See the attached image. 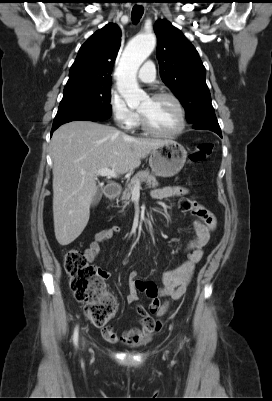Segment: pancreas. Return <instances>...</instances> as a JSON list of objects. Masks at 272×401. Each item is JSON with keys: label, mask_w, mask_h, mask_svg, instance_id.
I'll return each mask as SVG.
<instances>
[{"label": "pancreas", "mask_w": 272, "mask_h": 401, "mask_svg": "<svg viewBox=\"0 0 272 401\" xmlns=\"http://www.w3.org/2000/svg\"><path fill=\"white\" fill-rule=\"evenodd\" d=\"M136 182H139V184L145 183L148 188H156L159 185L156 177L151 174L148 169L139 171L133 176L131 181L126 185L124 191L122 192L120 199L124 205L129 204V200L131 198L133 189L135 188Z\"/></svg>", "instance_id": "1"}]
</instances>
